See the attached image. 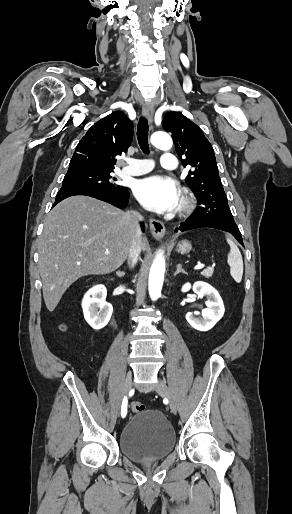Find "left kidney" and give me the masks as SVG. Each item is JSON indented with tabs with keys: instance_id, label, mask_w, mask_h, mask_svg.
<instances>
[{
	"instance_id": "obj_1",
	"label": "left kidney",
	"mask_w": 292,
	"mask_h": 514,
	"mask_svg": "<svg viewBox=\"0 0 292 514\" xmlns=\"http://www.w3.org/2000/svg\"><path fill=\"white\" fill-rule=\"evenodd\" d=\"M191 288L193 292L197 294L198 298L207 296V302H205L207 308L202 310V312H188V314H186V320L195 330L208 332V330H211V328L221 320L225 312L223 300L220 298L217 290L212 288L210 284H206V282H195L193 286H191V284H184L182 292H189ZM195 316H199V318H195Z\"/></svg>"
}]
</instances>
